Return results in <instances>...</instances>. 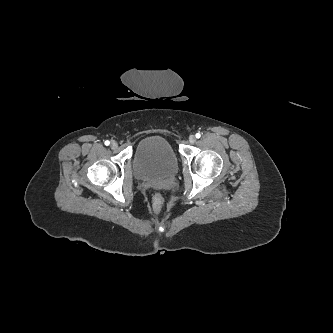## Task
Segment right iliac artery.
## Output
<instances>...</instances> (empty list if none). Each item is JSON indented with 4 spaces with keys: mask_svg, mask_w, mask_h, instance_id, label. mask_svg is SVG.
<instances>
[{
    "mask_svg": "<svg viewBox=\"0 0 333 333\" xmlns=\"http://www.w3.org/2000/svg\"><path fill=\"white\" fill-rule=\"evenodd\" d=\"M110 142L108 140L105 141V145L108 146Z\"/></svg>",
    "mask_w": 333,
    "mask_h": 333,
    "instance_id": "right-iliac-artery-1",
    "label": "right iliac artery"
}]
</instances>
